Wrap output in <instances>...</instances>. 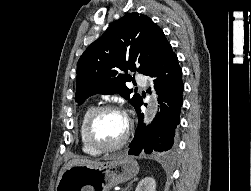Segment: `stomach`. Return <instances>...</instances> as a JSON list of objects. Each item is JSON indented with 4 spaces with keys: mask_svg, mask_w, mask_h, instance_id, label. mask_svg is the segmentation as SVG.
Wrapping results in <instances>:
<instances>
[{
    "mask_svg": "<svg viewBox=\"0 0 251 191\" xmlns=\"http://www.w3.org/2000/svg\"><path fill=\"white\" fill-rule=\"evenodd\" d=\"M139 171L131 155L106 157L96 165H73L62 173L56 191H109L113 185L135 177Z\"/></svg>",
    "mask_w": 251,
    "mask_h": 191,
    "instance_id": "stomach-1",
    "label": "stomach"
}]
</instances>
